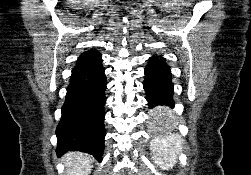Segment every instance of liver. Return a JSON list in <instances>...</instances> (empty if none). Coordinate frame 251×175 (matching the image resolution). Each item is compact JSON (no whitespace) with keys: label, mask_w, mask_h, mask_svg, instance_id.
I'll return each mask as SVG.
<instances>
[{"label":"liver","mask_w":251,"mask_h":175,"mask_svg":"<svg viewBox=\"0 0 251 175\" xmlns=\"http://www.w3.org/2000/svg\"><path fill=\"white\" fill-rule=\"evenodd\" d=\"M63 161L67 167V175H89L93 163L91 155L81 151L64 153Z\"/></svg>","instance_id":"1"}]
</instances>
